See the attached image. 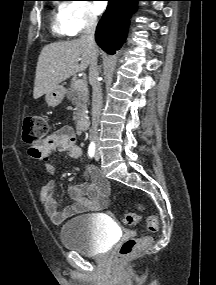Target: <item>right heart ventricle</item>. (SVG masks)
I'll return each instance as SVG.
<instances>
[{
    "label": "right heart ventricle",
    "mask_w": 216,
    "mask_h": 285,
    "mask_svg": "<svg viewBox=\"0 0 216 285\" xmlns=\"http://www.w3.org/2000/svg\"><path fill=\"white\" fill-rule=\"evenodd\" d=\"M53 31L60 36H64V35H69L68 32L66 31L62 19H61V15H60V11H58L57 13H55L54 18H53Z\"/></svg>",
    "instance_id": "e07e8e85"
}]
</instances>
